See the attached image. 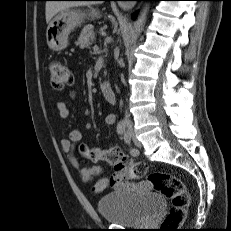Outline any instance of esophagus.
I'll return each instance as SVG.
<instances>
[{
  "instance_id": "1",
  "label": "esophagus",
  "mask_w": 231,
  "mask_h": 231,
  "mask_svg": "<svg viewBox=\"0 0 231 231\" xmlns=\"http://www.w3.org/2000/svg\"><path fill=\"white\" fill-rule=\"evenodd\" d=\"M122 7L124 8V9H129V8H131V5H128V4H122Z\"/></svg>"
}]
</instances>
